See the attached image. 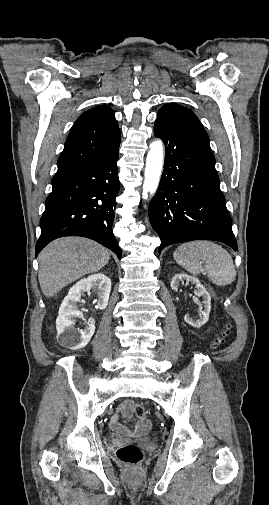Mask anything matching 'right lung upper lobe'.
<instances>
[{"mask_svg":"<svg viewBox=\"0 0 269 505\" xmlns=\"http://www.w3.org/2000/svg\"><path fill=\"white\" fill-rule=\"evenodd\" d=\"M120 130L113 110L96 106L83 113L72 126L58 159V171L101 157L120 144Z\"/></svg>","mask_w":269,"mask_h":505,"instance_id":"cb5924a9","label":"right lung upper lobe"}]
</instances>
